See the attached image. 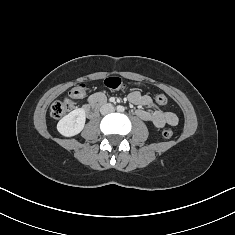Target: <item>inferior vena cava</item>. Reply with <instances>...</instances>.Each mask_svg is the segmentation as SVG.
<instances>
[{
	"label": "inferior vena cava",
	"mask_w": 235,
	"mask_h": 235,
	"mask_svg": "<svg viewBox=\"0 0 235 235\" xmlns=\"http://www.w3.org/2000/svg\"><path fill=\"white\" fill-rule=\"evenodd\" d=\"M100 112L102 115H106L109 113L114 112V107L112 104H104L101 108H100Z\"/></svg>",
	"instance_id": "1"
}]
</instances>
